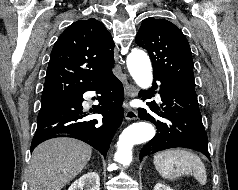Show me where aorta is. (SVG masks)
I'll return each mask as SVG.
<instances>
[{
  "label": "aorta",
  "instance_id": "aorta-1",
  "mask_svg": "<svg viewBox=\"0 0 238 190\" xmlns=\"http://www.w3.org/2000/svg\"><path fill=\"white\" fill-rule=\"evenodd\" d=\"M127 67L135 83L147 90L152 83V66L147 54L138 49H133L127 56ZM155 136L154 127L144 121L136 122L128 126L121 133L115 160L124 165L132 161V149L134 145L150 141Z\"/></svg>",
  "mask_w": 238,
  "mask_h": 190
}]
</instances>
